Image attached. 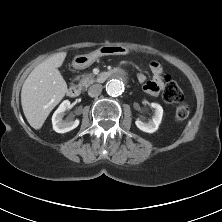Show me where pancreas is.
<instances>
[{"instance_id":"obj_1","label":"pancreas","mask_w":222,"mask_h":222,"mask_svg":"<svg viewBox=\"0 0 222 222\" xmlns=\"http://www.w3.org/2000/svg\"><path fill=\"white\" fill-rule=\"evenodd\" d=\"M96 82L95 76L92 73H85L81 75V79L79 81L78 86L80 88H87L89 85L93 84Z\"/></svg>"}]
</instances>
